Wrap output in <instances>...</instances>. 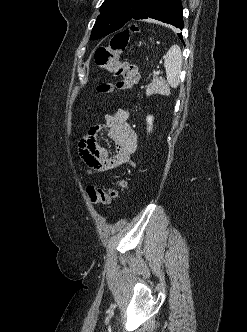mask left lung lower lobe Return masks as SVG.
I'll list each match as a JSON object with an SVG mask.
<instances>
[{
  "instance_id": "left-lung-lower-lobe-1",
  "label": "left lung lower lobe",
  "mask_w": 247,
  "mask_h": 332,
  "mask_svg": "<svg viewBox=\"0 0 247 332\" xmlns=\"http://www.w3.org/2000/svg\"><path fill=\"white\" fill-rule=\"evenodd\" d=\"M183 8L181 0H147L131 20L156 19L183 29ZM183 42L182 35L178 34Z\"/></svg>"
}]
</instances>
